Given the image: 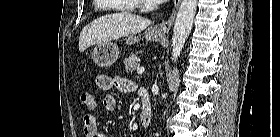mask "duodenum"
<instances>
[{
    "instance_id": "duodenum-1",
    "label": "duodenum",
    "mask_w": 280,
    "mask_h": 137,
    "mask_svg": "<svg viewBox=\"0 0 280 137\" xmlns=\"http://www.w3.org/2000/svg\"><path fill=\"white\" fill-rule=\"evenodd\" d=\"M140 94L142 96V107L139 113V121L142 127H147L149 126L153 118L152 107L147 94V90L144 87L140 89Z\"/></svg>"
}]
</instances>
